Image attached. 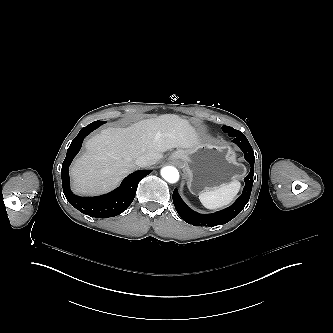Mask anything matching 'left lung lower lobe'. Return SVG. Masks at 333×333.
<instances>
[{
    "label": "left lung lower lobe",
    "instance_id": "obj_1",
    "mask_svg": "<svg viewBox=\"0 0 333 333\" xmlns=\"http://www.w3.org/2000/svg\"><path fill=\"white\" fill-rule=\"evenodd\" d=\"M222 130L230 137H232V141L237 144L243 151L245 159L249 162L251 166V170L249 174L244 178L245 187L241 196L230 207L213 214L204 215L191 210L181 199L178 190L175 189L172 198L176 211L185 222L194 226L214 227L217 225L225 224L232 220L234 217H236L242 211L250 198L253 185L255 162L252 146L242 132L230 126H223Z\"/></svg>",
    "mask_w": 333,
    "mask_h": 333
}]
</instances>
